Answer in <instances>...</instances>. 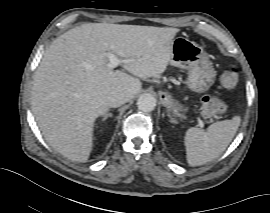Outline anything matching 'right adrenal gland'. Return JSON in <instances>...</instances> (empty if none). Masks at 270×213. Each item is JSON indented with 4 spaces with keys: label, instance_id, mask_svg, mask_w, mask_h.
Listing matches in <instances>:
<instances>
[{
    "label": "right adrenal gland",
    "instance_id": "2a0ac1e0",
    "mask_svg": "<svg viewBox=\"0 0 270 213\" xmlns=\"http://www.w3.org/2000/svg\"><path fill=\"white\" fill-rule=\"evenodd\" d=\"M110 117H112V114L111 113L104 114L103 121H105L107 118H110Z\"/></svg>",
    "mask_w": 270,
    "mask_h": 213
}]
</instances>
